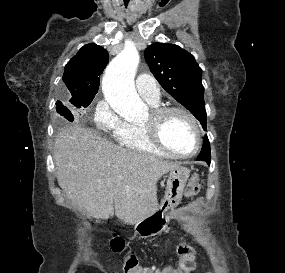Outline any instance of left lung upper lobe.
Returning a JSON list of instances; mask_svg holds the SVG:
<instances>
[{"instance_id":"5c2ea615","label":"left lung upper lobe","mask_w":285,"mask_h":273,"mask_svg":"<svg viewBox=\"0 0 285 273\" xmlns=\"http://www.w3.org/2000/svg\"><path fill=\"white\" fill-rule=\"evenodd\" d=\"M144 56L161 86L188 109L206 130L202 71L194 57L178 45L159 42L150 45Z\"/></svg>"}]
</instances>
